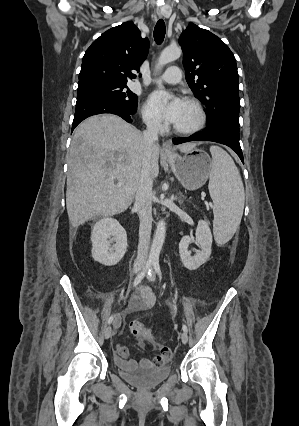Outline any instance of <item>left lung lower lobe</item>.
Segmentation results:
<instances>
[{"mask_svg":"<svg viewBox=\"0 0 299 426\" xmlns=\"http://www.w3.org/2000/svg\"><path fill=\"white\" fill-rule=\"evenodd\" d=\"M174 144H180L189 141H213L227 145L233 149L244 163L242 150L239 143V129L228 125L207 126L200 133L190 137L174 138Z\"/></svg>","mask_w":299,"mask_h":426,"instance_id":"0a47b994","label":"left lung lower lobe"}]
</instances>
